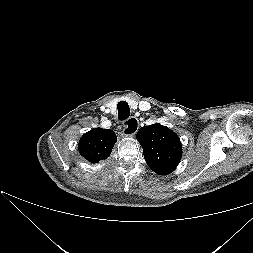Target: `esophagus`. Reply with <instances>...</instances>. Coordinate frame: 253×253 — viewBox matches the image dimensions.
Listing matches in <instances>:
<instances>
[{
	"instance_id": "1",
	"label": "esophagus",
	"mask_w": 253,
	"mask_h": 253,
	"mask_svg": "<svg viewBox=\"0 0 253 253\" xmlns=\"http://www.w3.org/2000/svg\"><path fill=\"white\" fill-rule=\"evenodd\" d=\"M132 120V125L128 126V121ZM138 120L135 117H131L128 120H125L124 125H123V131L122 134L124 136H133L136 134L137 130H138Z\"/></svg>"
}]
</instances>
